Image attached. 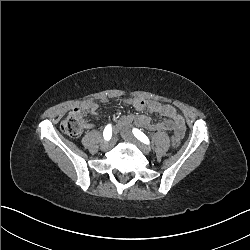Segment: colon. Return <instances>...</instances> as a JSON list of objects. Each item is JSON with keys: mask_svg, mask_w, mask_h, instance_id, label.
I'll return each instance as SVG.
<instances>
[{"mask_svg": "<svg viewBox=\"0 0 250 250\" xmlns=\"http://www.w3.org/2000/svg\"><path fill=\"white\" fill-rule=\"evenodd\" d=\"M85 124L84 113L81 109H74L68 113L61 121V131L69 137H77L81 132ZM170 147L178 149L180 145V137L173 135L171 137Z\"/></svg>", "mask_w": 250, "mask_h": 250, "instance_id": "5ec220e1", "label": "colon"}]
</instances>
